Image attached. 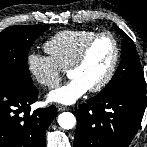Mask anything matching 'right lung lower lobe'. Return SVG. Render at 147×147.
I'll use <instances>...</instances> for the list:
<instances>
[{"mask_svg":"<svg viewBox=\"0 0 147 147\" xmlns=\"http://www.w3.org/2000/svg\"><path fill=\"white\" fill-rule=\"evenodd\" d=\"M38 90L0 82V147H44L45 132L57 115L54 105L30 113Z\"/></svg>","mask_w":147,"mask_h":147,"instance_id":"obj_1","label":"right lung lower lobe"}]
</instances>
